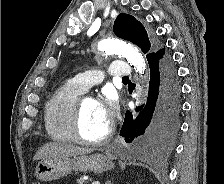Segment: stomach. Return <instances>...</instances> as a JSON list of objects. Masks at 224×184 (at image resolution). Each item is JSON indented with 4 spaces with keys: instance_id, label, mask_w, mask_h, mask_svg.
Listing matches in <instances>:
<instances>
[{
    "instance_id": "obj_1",
    "label": "stomach",
    "mask_w": 224,
    "mask_h": 184,
    "mask_svg": "<svg viewBox=\"0 0 224 184\" xmlns=\"http://www.w3.org/2000/svg\"><path fill=\"white\" fill-rule=\"evenodd\" d=\"M114 167L110 158L101 153L80 155L59 159L42 160L35 170L37 179L52 181L66 176L72 171L102 173Z\"/></svg>"
}]
</instances>
